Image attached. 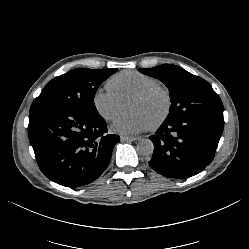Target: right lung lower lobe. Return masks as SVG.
<instances>
[{"label": "right lung lower lobe", "mask_w": 249, "mask_h": 249, "mask_svg": "<svg viewBox=\"0 0 249 249\" xmlns=\"http://www.w3.org/2000/svg\"><path fill=\"white\" fill-rule=\"evenodd\" d=\"M28 135L40 170L67 187L96 180L120 141L119 136L107 134V124L98 113L70 108L31 111Z\"/></svg>", "instance_id": "obj_1"}]
</instances>
